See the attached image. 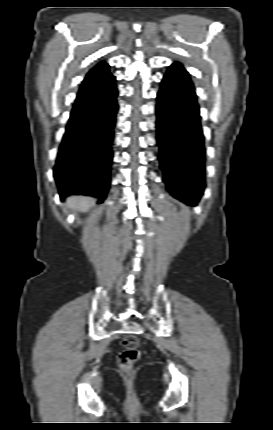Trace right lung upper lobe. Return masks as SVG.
Instances as JSON below:
<instances>
[{
    "mask_svg": "<svg viewBox=\"0 0 273 430\" xmlns=\"http://www.w3.org/2000/svg\"><path fill=\"white\" fill-rule=\"evenodd\" d=\"M109 73V65L105 62H101L97 64L93 69L89 71V73L86 75L82 87L80 88L77 99L82 98L86 92L88 91V86L92 83H95L97 81L103 80L104 78L110 76Z\"/></svg>",
    "mask_w": 273,
    "mask_h": 430,
    "instance_id": "right-lung-upper-lobe-1",
    "label": "right lung upper lobe"
}]
</instances>
